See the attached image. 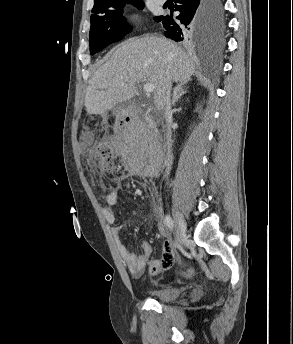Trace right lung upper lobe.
<instances>
[{"instance_id":"right-lung-upper-lobe-1","label":"right lung upper lobe","mask_w":293,"mask_h":344,"mask_svg":"<svg viewBox=\"0 0 293 344\" xmlns=\"http://www.w3.org/2000/svg\"><path fill=\"white\" fill-rule=\"evenodd\" d=\"M118 1H122V0H94V7L92 10L113 4Z\"/></svg>"}]
</instances>
